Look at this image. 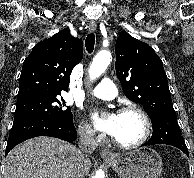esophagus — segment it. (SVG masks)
I'll list each match as a JSON object with an SVG mask.
<instances>
[{"mask_svg": "<svg viewBox=\"0 0 194 178\" xmlns=\"http://www.w3.org/2000/svg\"><path fill=\"white\" fill-rule=\"evenodd\" d=\"M89 31L90 32H93V31H95L96 30V28H97V24H96V22H90L89 23ZM101 156L104 158V159H113L115 156H114V154H113V152L112 151H110L109 149H103L102 151H101Z\"/></svg>", "mask_w": 194, "mask_h": 178, "instance_id": "34e87169", "label": "esophagus"}]
</instances>
